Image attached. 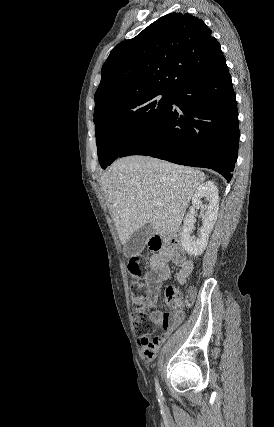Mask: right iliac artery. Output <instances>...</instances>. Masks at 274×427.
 I'll return each mask as SVG.
<instances>
[{"label": "right iliac artery", "mask_w": 274, "mask_h": 427, "mask_svg": "<svg viewBox=\"0 0 274 427\" xmlns=\"http://www.w3.org/2000/svg\"><path fill=\"white\" fill-rule=\"evenodd\" d=\"M155 386H156V391H157V397L159 400H161L162 399V391H161V388H160V385L158 382V378H156V380H155Z\"/></svg>", "instance_id": "1"}]
</instances>
